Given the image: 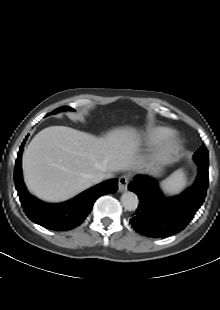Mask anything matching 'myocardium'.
<instances>
[{
    "label": "myocardium",
    "mask_w": 220,
    "mask_h": 310,
    "mask_svg": "<svg viewBox=\"0 0 220 310\" xmlns=\"http://www.w3.org/2000/svg\"><path fill=\"white\" fill-rule=\"evenodd\" d=\"M181 148V140L171 135L154 148L150 157V165L158 169L171 164L177 158Z\"/></svg>",
    "instance_id": "1"
}]
</instances>
